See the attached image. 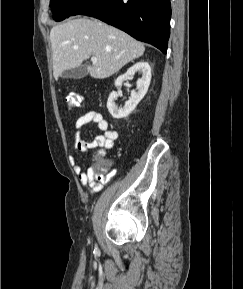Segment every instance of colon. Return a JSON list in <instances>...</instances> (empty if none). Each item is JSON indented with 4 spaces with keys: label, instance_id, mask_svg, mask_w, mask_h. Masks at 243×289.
I'll use <instances>...</instances> for the list:
<instances>
[{
    "label": "colon",
    "instance_id": "obj_1",
    "mask_svg": "<svg viewBox=\"0 0 243 289\" xmlns=\"http://www.w3.org/2000/svg\"><path fill=\"white\" fill-rule=\"evenodd\" d=\"M82 101H83V97L79 93H76V92H70L66 96V103L70 108L79 106L82 103ZM95 162H96V169L99 172H105L111 166V163L107 160H104L103 157H98L95 160Z\"/></svg>",
    "mask_w": 243,
    "mask_h": 289
}]
</instances>
